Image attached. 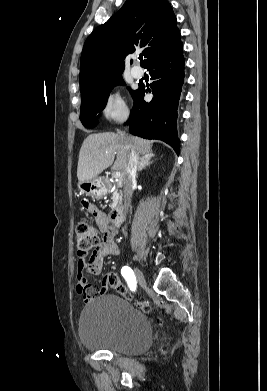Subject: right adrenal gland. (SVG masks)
Here are the masks:
<instances>
[{
  "mask_svg": "<svg viewBox=\"0 0 267 391\" xmlns=\"http://www.w3.org/2000/svg\"><path fill=\"white\" fill-rule=\"evenodd\" d=\"M151 157L152 156L140 158V162L138 165V172L142 171L143 169H145L146 167H148L152 163V161H150Z\"/></svg>",
  "mask_w": 267,
  "mask_h": 391,
  "instance_id": "1",
  "label": "right adrenal gland"
}]
</instances>
